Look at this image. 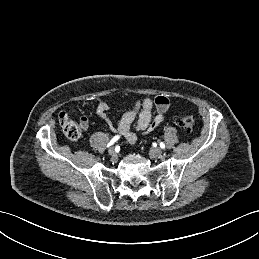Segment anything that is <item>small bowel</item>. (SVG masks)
<instances>
[{
    "label": "small bowel",
    "mask_w": 259,
    "mask_h": 259,
    "mask_svg": "<svg viewBox=\"0 0 259 259\" xmlns=\"http://www.w3.org/2000/svg\"><path fill=\"white\" fill-rule=\"evenodd\" d=\"M93 101L96 103V114L108 125L110 130L121 134L129 143L137 141L138 133L151 131L162 123L170 104L169 99L163 95H159L153 100L144 98L137 101L131 109L126 111L118 124L115 125L107 115L109 104L100 98ZM153 109L156 111L155 116H153ZM135 120L134 130H132V124ZM80 125L83 129L88 128L89 121L86 116L80 118Z\"/></svg>",
    "instance_id": "obj_1"
}]
</instances>
